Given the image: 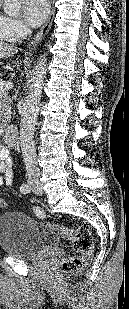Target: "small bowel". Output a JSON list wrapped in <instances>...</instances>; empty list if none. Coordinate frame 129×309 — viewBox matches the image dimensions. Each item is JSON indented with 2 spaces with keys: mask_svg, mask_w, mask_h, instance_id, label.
<instances>
[{
  "mask_svg": "<svg viewBox=\"0 0 129 309\" xmlns=\"http://www.w3.org/2000/svg\"><path fill=\"white\" fill-rule=\"evenodd\" d=\"M13 161L9 149L0 147V187L10 186L13 182Z\"/></svg>",
  "mask_w": 129,
  "mask_h": 309,
  "instance_id": "small-bowel-1",
  "label": "small bowel"
}]
</instances>
